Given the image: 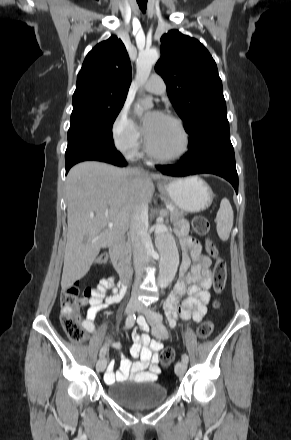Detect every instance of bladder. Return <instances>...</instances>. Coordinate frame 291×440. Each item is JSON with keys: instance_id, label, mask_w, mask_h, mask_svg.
I'll list each match as a JSON object with an SVG mask.
<instances>
[{"instance_id": "1", "label": "bladder", "mask_w": 291, "mask_h": 440, "mask_svg": "<svg viewBox=\"0 0 291 440\" xmlns=\"http://www.w3.org/2000/svg\"><path fill=\"white\" fill-rule=\"evenodd\" d=\"M168 394L165 386L150 380H124L108 385L109 397L118 404L138 408L159 404Z\"/></svg>"}]
</instances>
